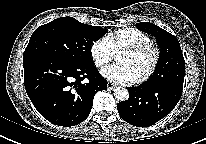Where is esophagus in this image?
Listing matches in <instances>:
<instances>
[{
  "label": "esophagus",
  "instance_id": "esophagus-1",
  "mask_svg": "<svg viewBox=\"0 0 206 144\" xmlns=\"http://www.w3.org/2000/svg\"><path fill=\"white\" fill-rule=\"evenodd\" d=\"M115 87H116V85H115L114 83H112V82H108V83H107V88H108V89L112 90V89H114Z\"/></svg>",
  "mask_w": 206,
  "mask_h": 144
}]
</instances>
